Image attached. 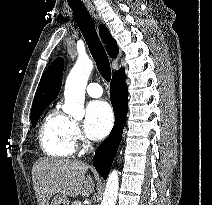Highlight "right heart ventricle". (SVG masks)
I'll use <instances>...</instances> for the list:
<instances>
[{"instance_id": "obj_1", "label": "right heart ventricle", "mask_w": 212, "mask_h": 205, "mask_svg": "<svg viewBox=\"0 0 212 205\" xmlns=\"http://www.w3.org/2000/svg\"><path fill=\"white\" fill-rule=\"evenodd\" d=\"M71 124L69 118L56 109L45 115L39 130V142L46 155L54 158H68L73 155L75 142Z\"/></svg>"}]
</instances>
